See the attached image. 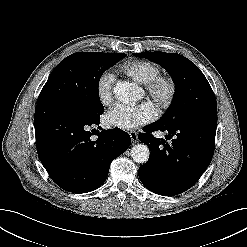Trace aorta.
<instances>
[{"label": "aorta", "mask_w": 247, "mask_h": 247, "mask_svg": "<svg viewBox=\"0 0 247 247\" xmlns=\"http://www.w3.org/2000/svg\"><path fill=\"white\" fill-rule=\"evenodd\" d=\"M115 97L122 103H134L139 99V93L133 84L119 82L113 88ZM131 157L136 163H146L149 160L150 151L145 144H136L131 148Z\"/></svg>", "instance_id": "obj_1"}]
</instances>
